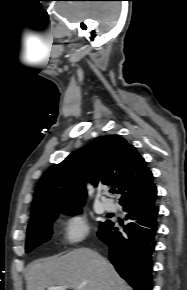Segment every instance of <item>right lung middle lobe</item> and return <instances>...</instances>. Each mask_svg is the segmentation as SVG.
<instances>
[{"instance_id":"dd1d6c3e","label":"right lung middle lobe","mask_w":187,"mask_h":290,"mask_svg":"<svg viewBox=\"0 0 187 290\" xmlns=\"http://www.w3.org/2000/svg\"><path fill=\"white\" fill-rule=\"evenodd\" d=\"M82 210L71 209L65 210L64 213H79ZM59 210L50 212L29 223L27 231L26 252L32 251L37 246L46 242L51 236L52 222L58 217ZM108 221L101 223L100 228L104 226Z\"/></svg>"}]
</instances>
